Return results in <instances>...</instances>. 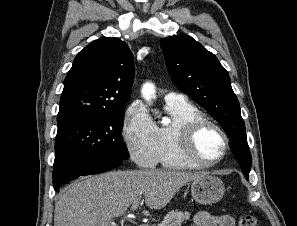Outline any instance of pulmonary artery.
Masks as SVG:
<instances>
[{"instance_id":"pulmonary-artery-1","label":"pulmonary artery","mask_w":297,"mask_h":226,"mask_svg":"<svg viewBox=\"0 0 297 226\" xmlns=\"http://www.w3.org/2000/svg\"><path fill=\"white\" fill-rule=\"evenodd\" d=\"M165 100L166 101L184 102V101H186V96L182 93L172 91L165 95Z\"/></svg>"}]
</instances>
